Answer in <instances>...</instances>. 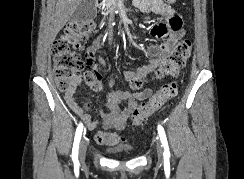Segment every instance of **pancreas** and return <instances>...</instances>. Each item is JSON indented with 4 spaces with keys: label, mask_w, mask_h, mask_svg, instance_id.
Returning <instances> with one entry per match:
<instances>
[{
    "label": "pancreas",
    "mask_w": 244,
    "mask_h": 179,
    "mask_svg": "<svg viewBox=\"0 0 244 179\" xmlns=\"http://www.w3.org/2000/svg\"><path fill=\"white\" fill-rule=\"evenodd\" d=\"M115 0H107V10L110 12V6H114Z\"/></svg>",
    "instance_id": "pancreas-1"
}]
</instances>
